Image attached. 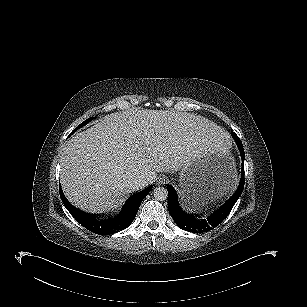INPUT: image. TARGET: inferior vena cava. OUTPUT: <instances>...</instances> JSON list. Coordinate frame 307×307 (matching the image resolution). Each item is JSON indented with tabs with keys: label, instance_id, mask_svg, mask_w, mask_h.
<instances>
[{
	"label": "inferior vena cava",
	"instance_id": "602c4592",
	"mask_svg": "<svg viewBox=\"0 0 307 307\" xmlns=\"http://www.w3.org/2000/svg\"><path fill=\"white\" fill-rule=\"evenodd\" d=\"M146 184V181L143 178H133L130 181V186L133 189H138L139 187L143 186Z\"/></svg>",
	"mask_w": 307,
	"mask_h": 307
}]
</instances>
